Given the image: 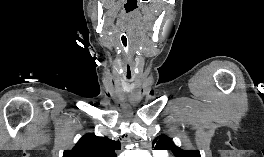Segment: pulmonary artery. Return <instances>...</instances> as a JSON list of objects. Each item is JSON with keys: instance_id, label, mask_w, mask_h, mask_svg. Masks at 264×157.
Here are the masks:
<instances>
[{"instance_id": "pulmonary-artery-1", "label": "pulmonary artery", "mask_w": 264, "mask_h": 157, "mask_svg": "<svg viewBox=\"0 0 264 157\" xmlns=\"http://www.w3.org/2000/svg\"><path fill=\"white\" fill-rule=\"evenodd\" d=\"M156 154H161V155H166V153L165 152H156Z\"/></svg>"}]
</instances>
